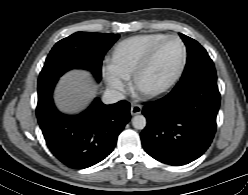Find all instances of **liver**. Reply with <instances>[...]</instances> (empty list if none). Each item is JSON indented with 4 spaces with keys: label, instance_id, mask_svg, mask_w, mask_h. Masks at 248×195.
Listing matches in <instances>:
<instances>
[{
    "label": "liver",
    "instance_id": "1",
    "mask_svg": "<svg viewBox=\"0 0 248 195\" xmlns=\"http://www.w3.org/2000/svg\"><path fill=\"white\" fill-rule=\"evenodd\" d=\"M98 86L84 70H72L60 78L55 90L57 107L66 113H76L95 97Z\"/></svg>",
    "mask_w": 248,
    "mask_h": 195
}]
</instances>
